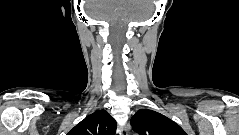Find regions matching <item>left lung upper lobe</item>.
I'll return each mask as SVG.
<instances>
[{"label":"left lung upper lobe","mask_w":239,"mask_h":135,"mask_svg":"<svg viewBox=\"0 0 239 135\" xmlns=\"http://www.w3.org/2000/svg\"><path fill=\"white\" fill-rule=\"evenodd\" d=\"M131 124L139 135H187L177 123L149 109L138 110L131 118Z\"/></svg>","instance_id":"1"}]
</instances>
